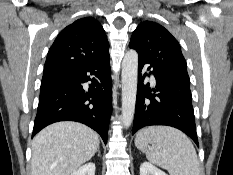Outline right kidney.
I'll return each instance as SVG.
<instances>
[{
    "instance_id": "1",
    "label": "right kidney",
    "mask_w": 233,
    "mask_h": 175,
    "mask_svg": "<svg viewBox=\"0 0 233 175\" xmlns=\"http://www.w3.org/2000/svg\"><path fill=\"white\" fill-rule=\"evenodd\" d=\"M71 175H95V164L89 162L73 171Z\"/></svg>"
}]
</instances>
